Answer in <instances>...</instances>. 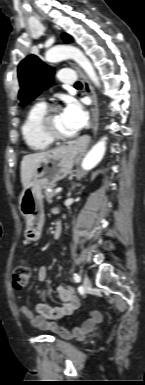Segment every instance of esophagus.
Wrapping results in <instances>:
<instances>
[{"label": "esophagus", "mask_w": 145, "mask_h": 385, "mask_svg": "<svg viewBox=\"0 0 145 385\" xmlns=\"http://www.w3.org/2000/svg\"><path fill=\"white\" fill-rule=\"evenodd\" d=\"M70 64L78 73V75L82 81V84H83L84 92L87 95H89L91 98V101H92V103H91V114H92L91 128H92L93 133L95 135L97 130H98V125H99V123H98V121H99V109H98V100H97L96 92H95L93 86L91 85V83L89 82L88 78L86 77V75L83 73V71L78 66H76L74 63L70 62ZM76 149L80 150L82 148L78 146Z\"/></svg>", "instance_id": "obj_1"}]
</instances>
